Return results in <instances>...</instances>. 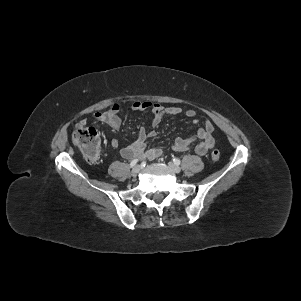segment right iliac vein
Instances as JSON below:
<instances>
[{
	"mask_svg": "<svg viewBox=\"0 0 301 301\" xmlns=\"http://www.w3.org/2000/svg\"><path fill=\"white\" fill-rule=\"evenodd\" d=\"M139 172H140V166L137 165V166H135V167L132 169L131 175H132L133 177H136V176L139 174Z\"/></svg>",
	"mask_w": 301,
	"mask_h": 301,
	"instance_id": "right-iliac-vein-1",
	"label": "right iliac vein"
}]
</instances>
